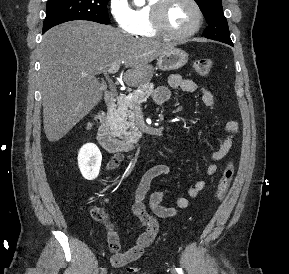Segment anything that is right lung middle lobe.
<instances>
[{
  "instance_id": "dd1d6c3e",
  "label": "right lung middle lobe",
  "mask_w": 289,
  "mask_h": 274,
  "mask_svg": "<svg viewBox=\"0 0 289 274\" xmlns=\"http://www.w3.org/2000/svg\"><path fill=\"white\" fill-rule=\"evenodd\" d=\"M109 0H48L43 32L63 22L89 20L109 24Z\"/></svg>"
}]
</instances>
